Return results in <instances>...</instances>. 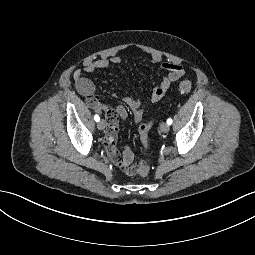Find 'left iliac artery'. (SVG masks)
Segmentation results:
<instances>
[{
  "label": "left iliac artery",
  "mask_w": 255,
  "mask_h": 255,
  "mask_svg": "<svg viewBox=\"0 0 255 255\" xmlns=\"http://www.w3.org/2000/svg\"><path fill=\"white\" fill-rule=\"evenodd\" d=\"M167 124H168V125H171V124H172V119H171V118H169V119L167 120Z\"/></svg>",
  "instance_id": "44dca946"
}]
</instances>
